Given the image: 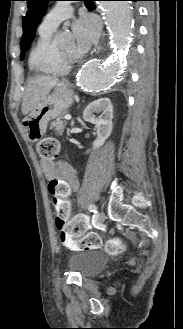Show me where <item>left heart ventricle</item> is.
Instances as JSON below:
<instances>
[{
  "label": "left heart ventricle",
  "mask_w": 183,
  "mask_h": 329,
  "mask_svg": "<svg viewBox=\"0 0 183 329\" xmlns=\"http://www.w3.org/2000/svg\"><path fill=\"white\" fill-rule=\"evenodd\" d=\"M67 57H73L78 54L75 44L72 42L60 49Z\"/></svg>",
  "instance_id": "left-heart-ventricle-1"
}]
</instances>
